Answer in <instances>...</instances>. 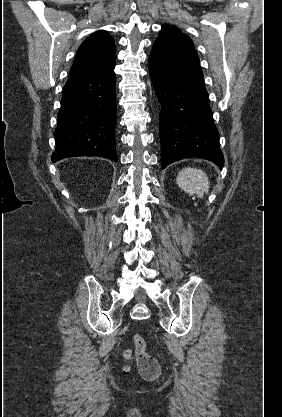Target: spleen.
I'll return each instance as SVG.
<instances>
[{"mask_svg": "<svg viewBox=\"0 0 282 417\" xmlns=\"http://www.w3.org/2000/svg\"><path fill=\"white\" fill-rule=\"evenodd\" d=\"M178 186L188 192L190 196L192 194H197L199 198H202L204 192H208L209 180L206 172L204 170H200V168H190V166H186L183 170L178 172V176L176 178Z\"/></svg>", "mask_w": 282, "mask_h": 417, "instance_id": "1", "label": "spleen"}]
</instances>
